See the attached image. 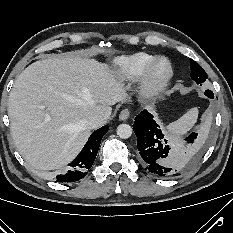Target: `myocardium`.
I'll use <instances>...</instances> for the list:
<instances>
[{
  "label": "myocardium",
  "mask_w": 233,
  "mask_h": 233,
  "mask_svg": "<svg viewBox=\"0 0 233 233\" xmlns=\"http://www.w3.org/2000/svg\"><path fill=\"white\" fill-rule=\"evenodd\" d=\"M166 65V72L157 74L160 65ZM174 74L171 61L165 57H158L152 61L139 76L138 91L143 97H153L161 93L170 83Z\"/></svg>",
  "instance_id": "f54148a6"
}]
</instances>
